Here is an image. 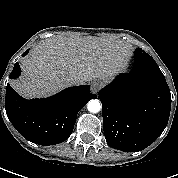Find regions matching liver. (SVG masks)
<instances>
[{
    "mask_svg": "<svg viewBox=\"0 0 178 178\" xmlns=\"http://www.w3.org/2000/svg\"><path fill=\"white\" fill-rule=\"evenodd\" d=\"M129 53V46L120 40L51 37L40 41L22 61L23 77L12 86L32 98L70 85L71 76L79 78L80 84L108 81L124 68Z\"/></svg>",
    "mask_w": 178,
    "mask_h": 178,
    "instance_id": "1",
    "label": "liver"
}]
</instances>
